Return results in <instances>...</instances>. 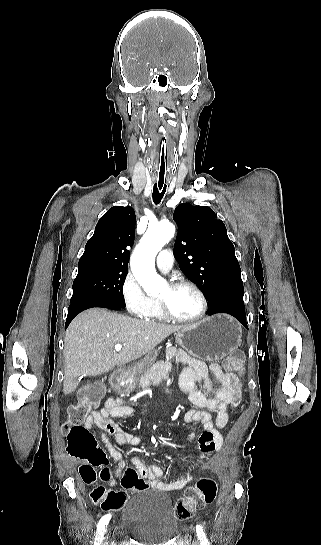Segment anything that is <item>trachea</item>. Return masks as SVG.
I'll use <instances>...</instances> for the list:
<instances>
[{"label": "trachea", "mask_w": 321, "mask_h": 545, "mask_svg": "<svg viewBox=\"0 0 321 545\" xmlns=\"http://www.w3.org/2000/svg\"><path fill=\"white\" fill-rule=\"evenodd\" d=\"M163 140L166 138L164 135L161 137ZM161 149L158 154L157 169L153 176L152 188H153V201L155 204H158L166 191V172L169 163V154L166 149V143H161Z\"/></svg>", "instance_id": "1"}]
</instances>
